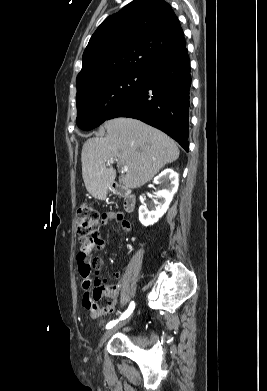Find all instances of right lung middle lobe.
<instances>
[{
    "label": "right lung middle lobe",
    "mask_w": 267,
    "mask_h": 391,
    "mask_svg": "<svg viewBox=\"0 0 267 391\" xmlns=\"http://www.w3.org/2000/svg\"><path fill=\"white\" fill-rule=\"evenodd\" d=\"M144 72H117L99 76L77 91V125L91 130L136 93L144 83Z\"/></svg>",
    "instance_id": "dd1d6c3e"
}]
</instances>
